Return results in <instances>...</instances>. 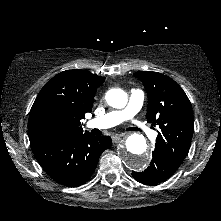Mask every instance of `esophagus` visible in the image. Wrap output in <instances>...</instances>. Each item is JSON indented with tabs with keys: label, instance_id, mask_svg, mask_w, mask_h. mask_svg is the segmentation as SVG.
Returning a JSON list of instances; mask_svg holds the SVG:
<instances>
[{
	"label": "esophagus",
	"instance_id": "34e87169",
	"mask_svg": "<svg viewBox=\"0 0 221 221\" xmlns=\"http://www.w3.org/2000/svg\"><path fill=\"white\" fill-rule=\"evenodd\" d=\"M124 138H125V134H119V135L116 134V135L112 136L113 143H118L119 141H121Z\"/></svg>",
	"mask_w": 221,
	"mask_h": 221
}]
</instances>
